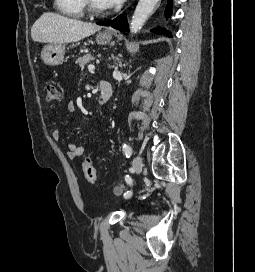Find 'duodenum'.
<instances>
[{"label": "duodenum", "mask_w": 255, "mask_h": 272, "mask_svg": "<svg viewBox=\"0 0 255 272\" xmlns=\"http://www.w3.org/2000/svg\"><path fill=\"white\" fill-rule=\"evenodd\" d=\"M99 87H100L99 103L105 104L113 96L112 85L106 80H101L99 83Z\"/></svg>", "instance_id": "410a0bca"}]
</instances>
